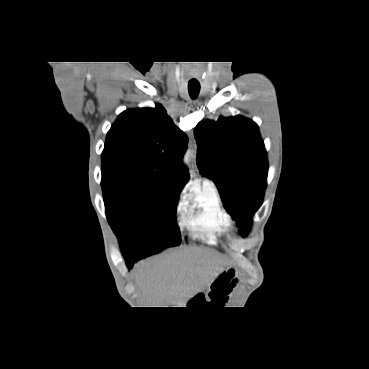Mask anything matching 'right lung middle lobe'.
<instances>
[{
    "label": "right lung middle lobe",
    "instance_id": "dd1d6c3e",
    "mask_svg": "<svg viewBox=\"0 0 369 369\" xmlns=\"http://www.w3.org/2000/svg\"><path fill=\"white\" fill-rule=\"evenodd\" d=\"M101 186L107 219L125 260H139L181 243L175 193L114 172L102 173Z\"/></svg>",
    "mask_w": 369,
    "mask_h": 369
}]
</instances>
